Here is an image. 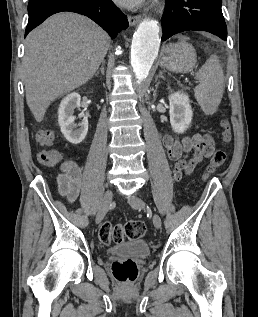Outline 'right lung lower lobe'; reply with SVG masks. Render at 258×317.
Returning a JSON list of instances; mask_svg holds the SVG:
<instances>
[{
	"label": "right lung lower lobe",
	"mask_w": 258,
	"mask_h": 317,
	"mask_svg": "<svg viewBox=\"0 0 258 317\" xmlns=\"http://www.w3.org/2000/svg\"><path fill=\"white\" fill-rule=\"evenodd\" d=\"M71 11L85 15L100 25L111 38L128 27L126 16L111 0H29L26 35L52 14Z\"/></svg>",
	"instance_id": "1"
}]
</instances>
